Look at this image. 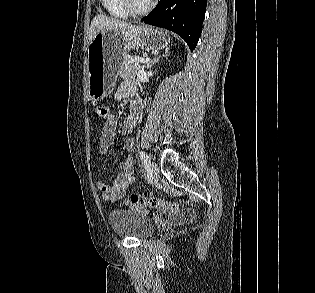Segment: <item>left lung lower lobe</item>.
Wrapping results in <instances>:
<instances>
[{"label":"left lung lower lobe","mask_w":315,"mask_h":293,"mask_svg":"<svg viewBox=\"0 0 315 293\" xmlns=\"http://www.w3.org/2000/svg\"><path fill=\"white\" fill-rule=\"evenodd\" d=\"M207 0H160L141 20L179 34L193 51L202 32Z\"/></svg>","instance_id":"obj_1"}]
</instances>
